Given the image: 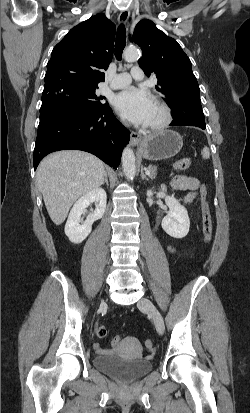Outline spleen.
Listing matches in <instances>:
<instances>
[{"instance_id":"3e777b00","label":"spleen","mask_w":250,"mask_h":413,"mask_svg":"<svg viewBox=\"0 0 250 413\" xmlns=\"http://www.w3.org/2000/svg\"><path fill=\"white\" fill-rule=\"evenodd\" d=\"M201 155H202L203 159H208L210 157L209 148L205 146L201 151Z\"/></svg>"}]
</instances>
